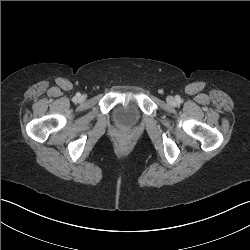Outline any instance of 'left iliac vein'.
<instances>
[{
	"mask_svg": "<svg viewBox=\"0 0 250 250\" xmlns=\"http://www.w3.org/2000/svg\"><path fill=\"white\" fill-rule=\"evenodd\" d=\"M167 102H168L169 104H171V105L175 104V100H174V98H173L172 96H168V97H167Z\"/></svg>",
	"mask_w": 250,
	"mask_h": 250,
	"instance_id": "obj_1",
	"label": "left iliac vein"
}]
</instances>
